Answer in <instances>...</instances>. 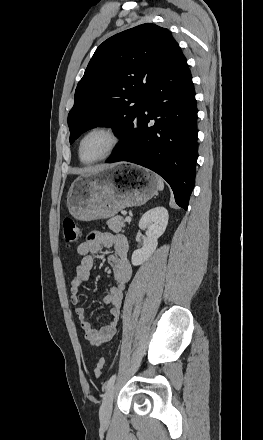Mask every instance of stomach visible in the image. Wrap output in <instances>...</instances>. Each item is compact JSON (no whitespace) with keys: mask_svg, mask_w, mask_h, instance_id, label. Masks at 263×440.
<instances>
[{"mask_svg":"<svg viewBox=\"0 0 263 440\" xmlns=\"http://www.w3.org/2000/svg\"><path fill=\"white\" fill-rule=\"evenodd\" d=\"M157 192L155 173L133 165L105 166L73 181L67 193V207L78 220L107 219L127 207L145 204Z\"/></svg>","mask_w":263,"mask_h":440,"instance_id":"1","label":"stomach"}]
</instances>
